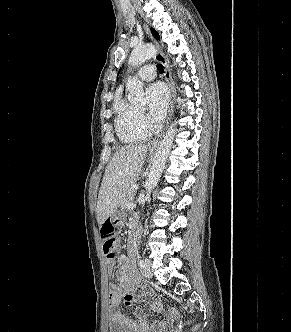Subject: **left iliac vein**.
Listing matches in <instances>:
<instances>
[{
    "label": "left iliac vein",
    "mask_w": 291,
    "mask_h": 332,
    "mask_svg": "<svg viewBox=\"0 0 291 332\" xmlns=\"http://www.w3.org/2000/svg\"><path fill=\"white\" fill-rule=\"evenodd\" d=\"M144 275L147 278H152V276H153V273H152V270H151V262L148 259L145 260Z\"/></svg>",
    "instance_id": "obj_1"
}]
</instances>
